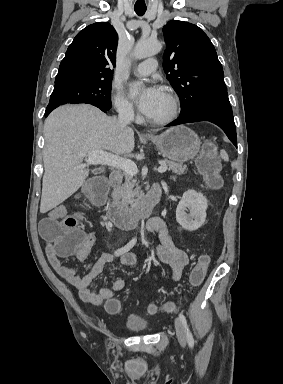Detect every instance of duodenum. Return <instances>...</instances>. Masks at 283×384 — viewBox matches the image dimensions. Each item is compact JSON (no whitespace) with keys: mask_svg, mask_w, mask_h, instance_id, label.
I'll use <instances>...</instances> for the list:
<instances>
[{"mask_svg":"<svg viewBox=\"0 0 283 384\" xmlns=\"http://www.w3.org/2000/svg\"><path fill=\"white\" fill-rule=\"evenodd\" d=\"M109 178L114 185L121 182V175L118 171L110 174ZM161 195L162 190L160 185L154 184L135 210L124 212L116 207H110L106 210V215L115 226L119 228H132L151 214L157 206Z\"/></svg>","mask_w":283,"mask_h":384,"instance_id":"410a0bca","label":"duodenum"}]
</instances>
